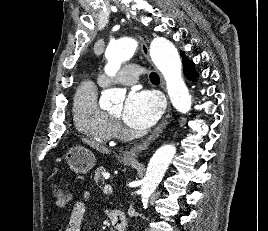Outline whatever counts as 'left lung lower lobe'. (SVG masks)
<instances>
[{"instance_id": "1", "label": "left lung lower lobe", "mask_w": 268, "mask_h": 231, "mask_svg": "<svg viewBox=\"0 0 268 231\" xmlns=\"http://www.w3.org/2000/svg\"><path fill=\"white\" fill-rule=\"evenodd\" d=\"M184 73L185 75L192 80H196L197 74L194 71V63L188 58L183 59Z\"/></svg>"}]
</instances>
